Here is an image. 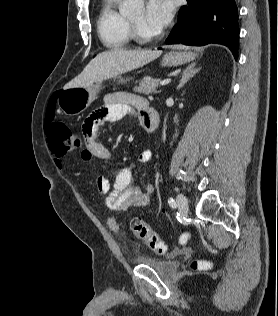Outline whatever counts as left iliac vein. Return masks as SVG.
Here are the masks:
<instances>
[{
	"instance_id": "obj_1",
	"label": "left iliac vein",
	"mask_w": 278,
	"mask_h": 316,
	"mask_svg": "<svg viewBox=\"0 0 278 316\" xmlns=\"http://www.w3.org/2000/svg\"><path fill=\"white\" fill-rule=\"evenodd\" d=\"M178 210L180 214L185 217L188 214L189 207H188V201L186 197L183 194H178L176 198Z\"/></svg>"
}]
</instances>
